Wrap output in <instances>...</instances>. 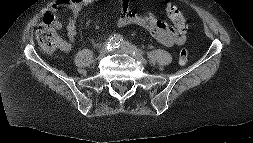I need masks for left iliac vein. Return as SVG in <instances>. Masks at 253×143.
Wrapping results in <instances>:
<instances>
[{
  "mask_svg": "<svg viewBox=\"0 0 253 143\" xmlns=\"http://www.w3.org/2000/svg\"><path fill=\"white\" fill-rule=\"evenodd\" d=\"M119 49H116L118 51ZM122 52L127 53L138 59L142 64H147V60L139 55L137 52L134 53V50L131 47H125L120 49Z\"/></svg>",
  "mask_w": 253,
  "mask_h": 143,
  "instance_id": "1",
  "label": "left iliac vein"
}]
</instances>
